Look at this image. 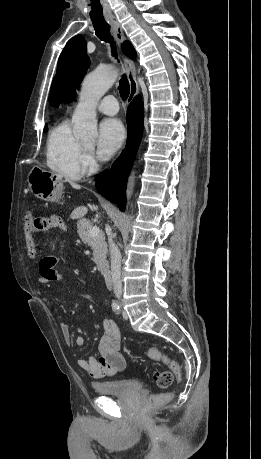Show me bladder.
Masks as SVG:
<instances>
[{
    "mask_svg": "<svg viewBox=\"0 0 261 459\" xmlns=\"http://www.w3.org/2000/svg\"><path fill=\"white\" fill-rule=\"evenodd\" d=\"M92 388L101 395H130L141 391L142 383L137 379H118L102 382H93Z\"/></svg>",
    "mask_w": 261,
    "mask_h": 459,
    "instance_id": "obj_1",
    "label": "bladder"
}]
</instances>
